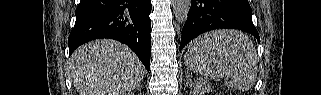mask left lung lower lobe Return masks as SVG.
<instances>
[{
    "label": "left lung lower lobe",
    "instance_id": "0a47b994",
    "mask_svg": "<svg viewBox=\"0 0 321 95\" xmlns=\"http://www.w3.org/2000/svg\"><path fill=\"white\" fill-rule=\"evenodd\" d=\"M248 0H192L182 30L180 50L198 35L213 29H239L259 35L252 22Z\"/></svg>",
    "mask_w": 321,
    "mask_h": 95
}]
</instances>
